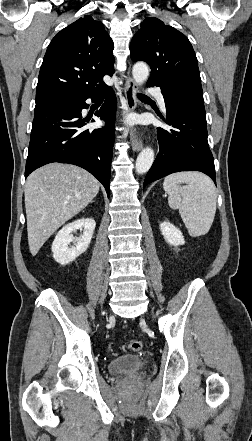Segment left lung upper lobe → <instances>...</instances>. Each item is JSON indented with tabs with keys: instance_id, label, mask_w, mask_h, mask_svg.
<instances>
[{
	"instance_id": "obj_1",
	"label": "left lung upper lobe",
	"mask_w": 252,
	"mask_h": 441,
	"mask_svg": "<svg viewBox=\"0 0 252 441\" xmlns=\"http://www.w3.org/2000/svg\"><path fill=\"white\" fill-rule=\"evenodd\" d=\"M134 35L131 59L151 68L147 84L191 94L201 103L203 91L198 61L187 37L157 18H146Z\"/></svg>"
}]
</instances>
